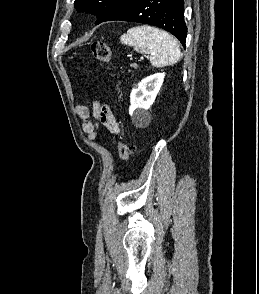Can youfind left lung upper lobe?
<instances>
[{"mask_svg":"<svg viewBox=\"0 0 259 294\" xmlns=\"http://www.w3.org/2000/svg\"><path fill=\"white\" fill-rule=\"evenodd\" d=\"M125 0H75L74 6L78 12L94 14L99 24L105 20L109 13Z\"/></svg>","mask_w":259,"mask_h":294,"instance_id":"5c2ea615","label":"left lung upper lobe"}]
</instances>
